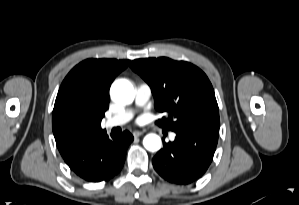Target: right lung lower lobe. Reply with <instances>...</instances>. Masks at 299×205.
Instances as JSON below:
<instances>
[{
	"label": "right lung lower lobe",
	"instance_id": "1",
	"mask_svg": "<svg viewBox=\"0 0 299 205\" xmlns=\"http://www.w3.org/2000/svg\"><path fill=\"white\" fill-rule=\"evenodd\" d=\"M133 139L128 131L112 138L105 133L84 144L66 163L86 181H108L121 171Z\"/></svg>",
	"mask_w": 299,
	"mask_h": 205
}]
</instances>
